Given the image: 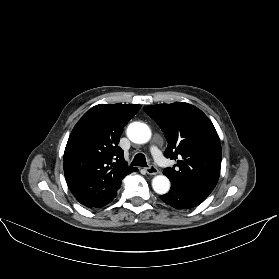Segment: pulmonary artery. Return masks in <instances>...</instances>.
Instances as JSON below:
<instances>
[{
    "instance_id": "1",
    "label": "pulmonary artery",
    "mask_w": 279,
    "mask_h": 279,
    "mask_svg": "<svg viewBox=\"0 0 279 279\" xmlns=\"http://www.w3.org/2000/svg\"><path fill=\"white\" fill-rule=\"evenodd\" d=\"M151 153L160 165H164V158L156 147L151 148Z\"/></svg>"
}]
</instances>
